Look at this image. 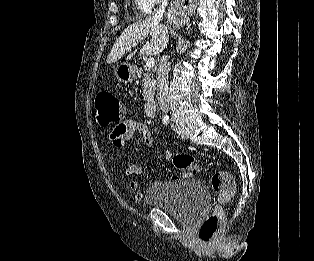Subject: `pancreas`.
I'll return each mask as SVG.
<instances>
[{"label": "pancreas", "instance_id": "cf45deb5", "mask_svg": "<svg viewBox=\"0 0 314 261\" xmlns=\"http://www.w3.org/2000/svg\"><path fill=\"white\" fill-rule=\"evenodd\" d=\"M143 85L144 100L152 101L155 94V79L149 69H146L144 73Z\"/></svg>", "mask_w": 314, "mask_h": 261}]
</instances>
